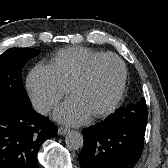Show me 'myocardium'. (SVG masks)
Wrapping results in <instances>:
<instances>
[{"label": "myocardium", "instance_id": "myocardium-1", "mask_svg": "<svg viewBox=\"0 0 168 168\" xmlns=\"http://www.w3.org/2000/svg\"><path fill=\"white\" fill-rule=\"evenodd\" d=\"M106 59H114L115 61L118 62L120 69H121V78H120L117 92H116L115 96L113 97V99L111 100V102L103 109L92 113V116L94 118H100V117H104V116L109 115L119 105V103L123 97V94H124V91L126 88V81H127V68H126L124 61L118 55H116L114 53H104V54L92 59L87 64V66L82 71V73L74 80V82L70 86V92L73 93L77 87H79L80 85L85 83L87 80H89V78L91 77V75L93 73L94 68L100 62H102L103 60H106Z\"/></svg>", "mask_w": 168, "mask_h": 168}]
</instances>
